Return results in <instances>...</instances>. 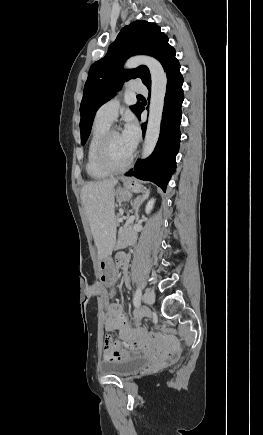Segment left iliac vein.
Masks as SVG:
<instances>
[{
  "instance_id": "1",
  "label": "left iliac vein",
  "mask_w": 263,
  "mask_h": 435,
  "mask_svg": "<svg viewBox=\"0 0 263 435\" xmlns=\"http://www.w3.org/2000/svg\"><path fill=\"white\" fill-rule=\"evenodd\" d=\"M146 304H153L155 302V294L152 291H146L142 297Z\"/></svg>"
}]
</instances>
